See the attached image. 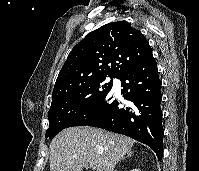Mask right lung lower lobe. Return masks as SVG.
<instances>
[{
	"label": "right lung lower lobe",
	"instance_id": "obj_1",
	"mask_svg": "<svg viewBox=\"0 0 199 171\" xmlns=\"http://www.w3.org/2000/svg\"><path fill=\"white\" fill-rule=\"evenodd\" d=\"M124 102L113 100L110 90L75 117L67 126H94L124 134L147 144L159 160L163 156L161 81L153 56L138 62L117 77Z\"/></svg>",
	"mask_w": 199,
	"mask_h": 171
}]
</instances>
